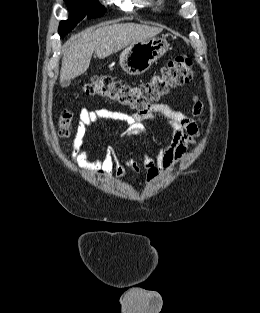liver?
Instances as JSON below:
<instances>
[{
	"mask_svg": "<svg viewBox=\"0 0 260 313\" xmlns=\"http://www.w3.org/2000/svg\"><path fill=\"white\" fill-rule=\"evenodd\" d=\"M161 31L159 27L135 23H114L86 30L68 41L62 58L60 83L86 72L94 52L99 59H104L132 43L152 38Z\"/></svg>",
	"mask_w": 260,
	"mask_h": 313,
	"instance_id": "6515ba94",
	"label": "liver"
}]
</instances>
